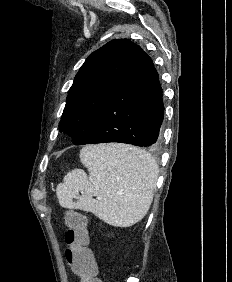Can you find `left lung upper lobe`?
I'll return each mask as SVG.
<instances>
[{"instance_id": "obj_1", "label": "left lung upper lobe", "mask_w": 232, "mask_h": 282, "mask_svg": "<svg viewBox=\"0 0 232 282\" xmlns=\"http://www.w3.org/2000/svg\"><path fill=\"white\" fill-rule=\"evenodd\" d=\"M143 50L127 39H114L86 59L69 89L59 129L79 144L89 138L101 107L125 83Z\"/></svg>"}]
</instances>
